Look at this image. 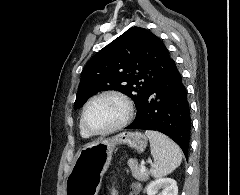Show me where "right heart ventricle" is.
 Here are the masks:
<instances>
[{
	"instance_id": "e07e8e85",
	"label": "right heart ventricle",
	"mask_w": 240,
	"mask_h": 195,
	"mask_svg": "<svg viewBox=\"0 0 240 195\" xmlns=\"http://www.w3.org/2000/svg\"><path fill=\"white\" fill-rule=\"evenodd\" d=\"M82 135L84 136V137H87L88 135L82 130Z\"/></svg>"
}]
</instances>
